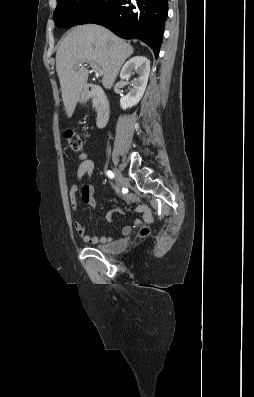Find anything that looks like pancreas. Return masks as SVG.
I'll list each match as a JSON object with an SVG mask.
<instances>
[{
  "mask_svg": "<svg viewBox=\"0 0 254 397\" xmlns=\"http://www.w3.org/2000/svg\"><path fill=\"white\" fill-rule=\"evenodd\" d=\"M97 102H98L97 98H94V99L92 100V105H93V107H96V106H97Z\"/></svg>",
  "mask_w": 254,
  "mask_h": 397,
  "instance_id": "pancreas-1",
  "label": "pancreas"
}]
</instances>
